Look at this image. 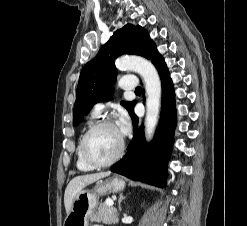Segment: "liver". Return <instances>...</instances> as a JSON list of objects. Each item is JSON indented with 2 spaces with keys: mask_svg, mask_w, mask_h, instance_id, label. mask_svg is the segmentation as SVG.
<instances>
[{
  "mask_svg": "<svg viewBox=\"0 0 247 226\" xmlns=\"http://www.w3.org/2000/svg\"><path fill=\"white\" fill-rule=\"evenodd\" d=\"M109 175L110 172H101V173L80 175L73 178L67 185L64 194V204H65L66 213L67 214L69 213L73 200L85 186L101 178L107 177Z\"/></svg>",
  "mask_w": 247,
  "mask_h": 226,
  "instance_id": "obj_1",
  "label": "liver"
}]
</instances>
